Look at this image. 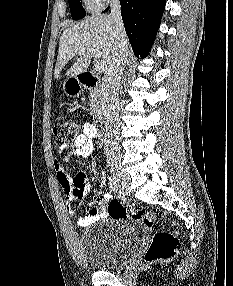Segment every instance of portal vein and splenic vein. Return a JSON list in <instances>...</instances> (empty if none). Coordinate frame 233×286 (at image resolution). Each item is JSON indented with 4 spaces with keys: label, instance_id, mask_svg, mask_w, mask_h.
Listing matches in <instances>:
<instances>
[{
    "label": "portal vein and splenic vein",
    "instance_id": "portal-vein-and-splenic-vein-1",
    "mask_svg": "<svg viewBox=\"0 0 233 286\" xmlns=\"http://www.w3.org/2000/svg\"><path fill=\"white\" fill-rule=\"evenodd\" d=\"M85 50H88L96 59V63H95V69L96 71L98 72H103L105 71V64L102 60H100V57H101V53L99 51L98 48H95V47H92V48H85V47H82L81 48V51H85Z\"/></svg>",
    "mask_w": 233,
    "mask_h": 286
}]
</instances>
